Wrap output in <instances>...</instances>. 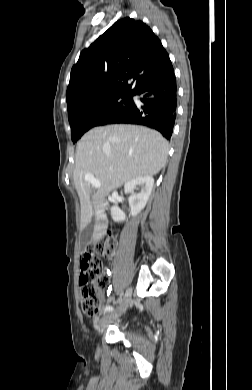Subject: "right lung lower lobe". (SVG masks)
Returning <instances> with one entry per match:
<instances>
[{
  "instance_id": "1",
  "label": "right lung lower lobe",
  "mask_w": 252,
  "mask_h": 390,
  "mask_svg": "<svg viewBox=\"0 0 252 390\" xmlns=\"http://www.w3.org/2000/svg\"><path fill=\"white\" fill-rule=\"evenodd\" d=\"M134 95L144 104L132 106L106 124L127 123L148 126L170 139L177 112V84L174 72L142 85Z\"/></svg>"
}]
</instances>
